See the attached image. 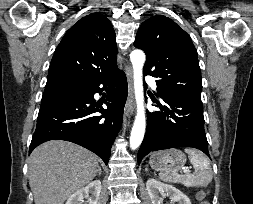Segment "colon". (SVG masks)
<instances>
[{
  "label": "colon",
  "mask_w": 253,
  "mask_h": 204,
  "mask_svg": "<svg viewBox=\"0 0 253 204\" xmlns=\"http://www.w3.org/2000/svg\"><path fill=\"white\" fill-rule=\"evenodd\" d=\"M199 198L202 200L201 204H209L208 201L204 200V194H203V193H201V194L199 195Z\"/></svg>",
  "instance_id": "5ec220e1"
}]
</instances>
